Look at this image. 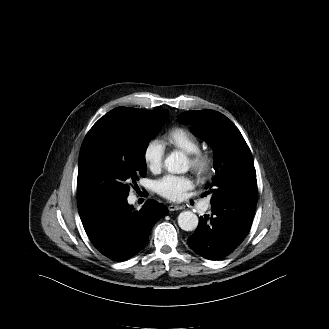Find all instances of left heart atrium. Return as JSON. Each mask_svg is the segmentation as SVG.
Listing matches in <instances>:
<instances>
[{"mask_svg": "<svg viewBox=\"0 0 329 329\" xmlns=\"http://www.w3.org/2000/svg\"><path fill=\"white\" fill-rule=\"evenodd\" d=\"M194 187V182L189 176L167 174L156 181L155 189L158 194L172 201L185 198L187 191Z\"/></svg>", "mask_w": 329, "mask_h": 329, "instance_id": "39dd6f15", "label": "left heart atrium"}]
</instances>
